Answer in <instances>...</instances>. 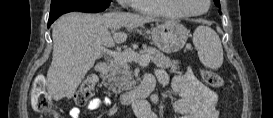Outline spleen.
<instances>
[{"mask_svg":"<svg viewBox=\"0 0 273 118\" xmlns=\"http://www.w3.org/2000/svg\"><path fill=\"white\" fill-rule=\"evenodd\" d=\"M193 44L201 63L216 70L223 64V48L217 33L207 26H198L193 34Z\"/></svg>","mask_w":273,"mask_h":118,"instance_id":"spleen-1","label":"spleen"}]
</instances>
